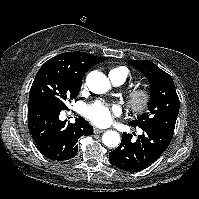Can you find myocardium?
<instances>
[{"label": "myocardium", "mask_w": 199, "mask_h": 199, "mask_svg": "<svg viewBox=\"0 0 199 199\" xmlns=\"http://www.w3.org/2000/svg\"><path fill=\"white\" fill-rule=\"evenodd\" d=\"M152 94L146 87H135L128 92L127 105L135 114L144 113L151 103Z\"/></svg>", "instance_id": "obj_1"}]
</instances>
